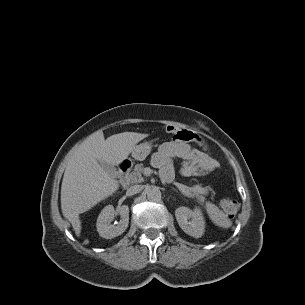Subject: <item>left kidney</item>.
Returning a JSON list of instances; mask_svg holds the SVG:
<instances>
[{"mask_svg":"<svg viewBox=\"0 0 305 305\" xmlns=\"http://www.w3.org/2000/svg\"><path fill=\"white\" fill-rule=\"evenodd\" d=\"M175 217L186 234L194 238H199L204 234L205 220L200 207H195L193 210L179 207L175 211Z\"/></svg>","mask_w":305,"mask_h":305,"instance_id":"obj_1","label":"left kidney"}]
</instances>
